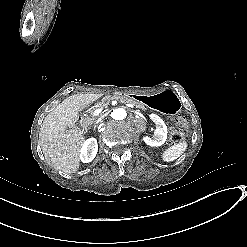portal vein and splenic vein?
<instances>
[{"mask_svg": "<svg viewBox=\"0 0 247 247\" xmlns=\"http://www.w3.org/2000/svg\"><path fill=\"white\" fill-rule=\"evenodd\" d=\"M125 106H128L130 108H134V105L130 103H125ZM104 112V109L102 107H98L94 110V113H91V116H99Z\"/></svg>", "mask_w": 247, "mask_h": 247, "instance_id": "18ae733b", "label": "portal vein and splenic vein"}]
</instances>
